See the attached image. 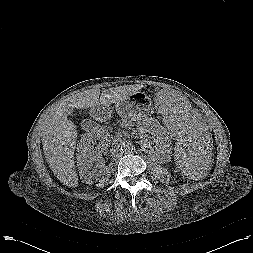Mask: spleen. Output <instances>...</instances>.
<instances>
[{"label": "spleen", "mask_w": 253, "mask_h": 253, "mask_svg": "<svg viewBox=\"0 0 253 253\" xmlns=\"http://www.w3.org/2000/svg\"><path fill=\"white\" fill-rule=\"evenodd\" d=\"M154 108L172 137L180 172L189 182H204L215 170L217 151L196 106L177 90L164 89L155 96Z\"/></svg>", "instance_id": "1"}]
</instances>
